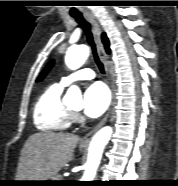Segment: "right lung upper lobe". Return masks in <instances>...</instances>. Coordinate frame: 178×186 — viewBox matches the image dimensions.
Returning a JSON list of instances; mask_svg holds the SVG:
<instances>
[{
  "mask_svg": "<svg viewBox=\"0 0 178 186\" xmlns=\"http://www.w3.org/2000/svg\"><path fill=\"white\" fill-rule=\"evenodd\" d=\"M102 42L105 45L106 52L109 53L110 52V49H109V40H108V38H107V36H106L105 33L102 34Z\"/></svg>",
  "mask_w": 178,
  "mask_h": 186,
  "instance_id": "1",
  "label": "right lung upper lobe"
}]
</instances>
